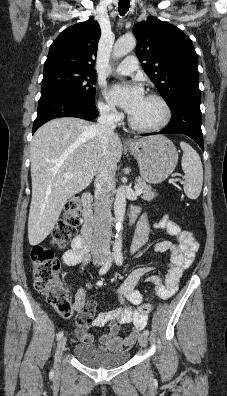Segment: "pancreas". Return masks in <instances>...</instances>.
Masks as SVG:
<instances>
[{
    "label": "pancreas",
    "mask_w": 227,
    "mask_h": 396,
    "mask_svg": "<svg viewBox=\"0 0 227 396\" xmlns=\"http://www.w3.org/2000/svg\"><path fill=\"white\" fill-rule=\"evenodd\" d=\"M136 185L138 186V188L142 189V199L146 201H152L156 197V194L152 190V187L150 185H147L144 181L139 179L137 180Z\"/></svg>",
    "instance_id": "cf45deb5"
}]
</instances>
